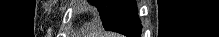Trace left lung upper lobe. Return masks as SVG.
Segmentation results:
<instances>
[{
  "label": "left lung upper lobe",
  "mask_w": 219,
  "mask_h": 37,
  "mask_svg": "<svg viewBox=\"0 0 219 37\" xmlns=\"http://www.w3.org/2000/svg\"><path fill=\"white\" fill-rule=\"evenodd\" d=\"M123 1L124 0H90V2L97 7L105 29L114 19Z\"/></svg>",
  "instance_id": "left-lung-upper-lobe-1"
}]
</instances>
